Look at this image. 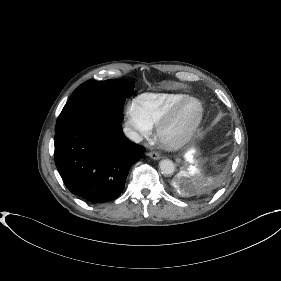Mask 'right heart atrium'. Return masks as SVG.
Segmentation results:
<instances>
[{"instance_id": "obj_1", "label": "right heart atrium", "mask_w": 281, "mask_h": 281, "mask_svg": "<svg viewBox=\"0 0 281 281\" xmlns=\"http://www.w3.org/2000/svg\"><path fill=\"white\" fill-rule=\"evenodd\" d=\"M125 120L137 135L147 137L150 134L151 128L142 119L136 103L132 102L126 105Z\"/></svg>"}]
</instances>
